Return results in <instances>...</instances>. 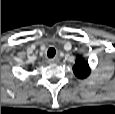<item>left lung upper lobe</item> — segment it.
Instances as JSON below:
<instances>
[{
  "label": "left lung upper lobe",
  "mask_w": 115,
  "mask_h": 114,
  "mask_svg": "<svg viewBox=\"0 0 115 114\" xmlns=\"http://www.w3.org/2000/svg\"><path fill=\"white\" fill-rule=\"evenodd\" d=\"M73 71L78 78H86L90 74L88 62L81 56H78L75 65L73 66Z\"/></svg>",
  "instance_id": "1"
}]
</instances>
